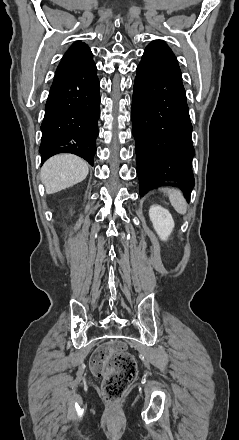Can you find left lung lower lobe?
<instances>
[{
	"instance_id": "obj_1",
	"label": "left lung lower lobe",
	"mask_w": 239,
	"mask_h": 440,
	"mask_svg": "<svg viewBox=\"0 0 239 440\" xmlns=\"http://www.w3.org/2000/svg\"><path fill=\"white\" fill-rule=\"evenodd\" d=\"M136 73L131 117L140 195L153 183L172 180L189 200L193 127L177 59L167 45L149 44Z\"/></svg>"
}]
</instances>
